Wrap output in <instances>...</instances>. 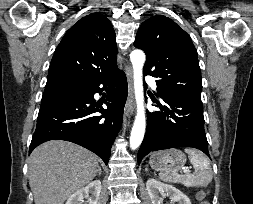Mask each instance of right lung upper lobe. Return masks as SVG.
<instances>
[{
	"label": "right lung upper lobe",
	"instance_id": "cb5924a9",
	"mask_svg": "<svg viewBox=\"0 0 253 204\" xmlns=\"http://www.w3.org/2000/svg\"><path fill=\"white\" fill-rule=\"evenodd\" d=\"M116 55L111 22L101 13H91L62 38L50 63L47 82L90 84L118 70Z\"/></svg>",
	"mask_w": 253,
	"mask_h": 204
}]
</instances>
